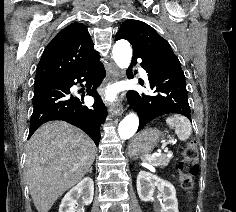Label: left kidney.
Listing matches in <instances>:
<instances>
[{
	"label": "left kidney",
	"instance_id": "left-kidney-1",
	"mask_svg": "<svg viewBox=\"0 0 236 212\" xmlns=\"http://www.w3.org/2000/svg\"><path fill=\"white\" fill-rule=\"evenodd\" d=\"M163 194V204L161 212H179L175 187L152 173L140 171L137 176V192L142 201L153 200L154 188Z\"/></svg>",
	"mask_w": 236,
	"mask_h": 212
}]
</instances>
